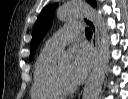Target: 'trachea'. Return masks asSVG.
<instances>
[{
  "label": "trachea",
  "instance_id": "3493384b",
  "mask_svg": "<svg viewBox=\"0 0 128 99\" xmlns=\"http://www.w3.org/2000/svg\"><path fill=\"white\" fill-rule=\"evenodd\" d=\"M85 34L92 36V30H91V28H88V27L85 28Z\"/></svg>",
  "mask_w": 128,
  "mask_h": 99
}]
</instances>
